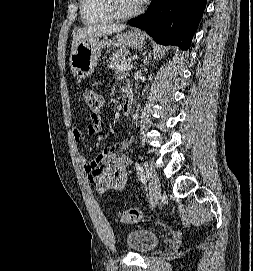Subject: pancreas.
I'll return each mask as SVG.
<instances>
[{"mask_svg": "<svg viewBox=\"0 0 253 271\" xmlns=\"http://www.w3.org/2000/svg\"><path fill=\"white\" fill-rule=\"evenodd\" d=\"M128 53L124 50H119L109 56L107 60V65L111 69L116 71H122L120 68L123 64L129 63L130 59L127 58Z\"/></svg>", "mask_w": 253, "mask_h": 271, "instance_id": "obj_1", "label": "pancreas"}]
</instances>
